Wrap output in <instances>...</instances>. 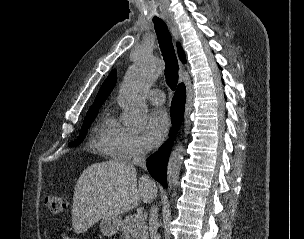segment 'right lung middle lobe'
Listing matches in <instances>:
<instances>
[{"label": "right lung middle lobe", "mask_w": 304, "mask_h": 239, "mask_svg": "<svg viewBox=\"0 0 304 239\" xmlns=\"http://www.w3.org/2000/svg\"><path fill=\"white\" fill-rule=\"evenodd\" d=\"M99 108L100 107H95V108H90L88 110L86 117L84 119L83 127H82L79 137L74 142L70 143L69 146H77L84 140L86 133H87V129L90 126V124L92 123L95 116L97 115Z\"/></svg>", "instance_id": "1"}]
</instances>
